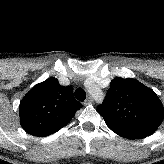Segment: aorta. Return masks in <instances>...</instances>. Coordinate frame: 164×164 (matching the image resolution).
<instances>
[{"instance_id": "aorta-1", "label": "aorta", "mask_w": 164, "mask_h": 164, "mask_svg": "<svg viewBox=\"0 0 164 164\" xmlns=\"http://www.w3.org/2000/svg\"><path fill=\"white\" fill-rule=\"evenodd\" d=\"M98 94H101V93H98V91H93V92H92V95H93L94 97H96L98 101H102L103 96L100 95V96L97 97Z\"/></svg>"}]
</instances>
